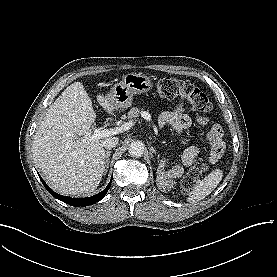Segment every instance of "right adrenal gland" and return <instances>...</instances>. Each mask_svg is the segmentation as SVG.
<instances>
[{
  "label": "right adrenal gland",
  "instance_id": "right-adrenal-gland-1",
  "mask_svg": "<svg viewBox=\"0 0 277 277\" xmlns=\"http://www.w3.org/2000/svg\"><path fill=\"white\" fill-rule=\"evenodd\" d=\"M111 155V151L108 150L106 151V156H105V162H104V166H105V170L107 171L108 166H109V157Z\"/></svg>",
  "mask_w": 277,
  "mask_h": 277
}]
</instances>
